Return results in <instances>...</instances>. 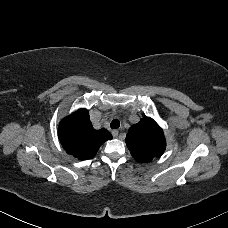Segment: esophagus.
Masks as SVG:
<instances>
[{
  "label": "esophagus",
  "mask_w": 228,
  "mask_h": 228,
  "mask_svg": "<svg viewBox=\"0 0 228 228\" xmlns=\"http://www.w3.org/2000/svg\"><path fill=\"white\" fill-rule=\"evenodd\" d=\"M112 135L114 138H117L119 136V131L118 130H113Z\"/></svg>",
  "instance_id": "34e87169"
}]
</instances>
